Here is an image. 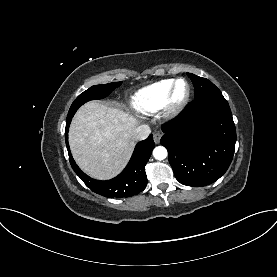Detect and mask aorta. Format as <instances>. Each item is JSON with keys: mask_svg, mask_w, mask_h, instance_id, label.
Instances as JSON below:
<instances>
[{"mask_svg": "<svg viewBox=\"0 0 277 277\" xmlns=\"http://www.w3.org/2000/svg\"><path fill=\"white\" fill-rule=\"evenodd\" d=\"M153 156L157 160H163L167 157V150L163 146H158L153 150Z\"/></svg>", "mask_w": 277, "mask_h": 277, "instance_id": "762f6f07", "label": "aorta"}]
</instances>
